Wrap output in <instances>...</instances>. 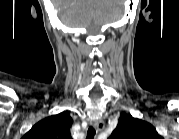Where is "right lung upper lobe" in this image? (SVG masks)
Wrapping results in <instances>:
<instances>
[{
  "label": "right lung upper lobe",
  "instance_id": "1",
  "mask_svg": "<svg viewBox=\"0 0 179 139\" xmlns=\"http://www.w3.org/2000/svg\"><path fill=\"white\" fill-rule=\"evenodd\" d=\"M72 118L65 113L47 117L36 123L24 139H71Z\"/></svg>",
  "mask_w": 179,
  "mask_h": 139
}]
</instances>
